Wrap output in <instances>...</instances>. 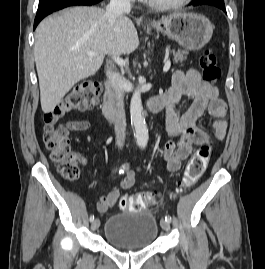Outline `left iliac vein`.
<instances>
[{"label":"left iliac vein","instance_id":"4c4485c4","mask_svg":"<svg viewBox=\"0 0 265 269\" xmlns=\"http://www.w3.org/2000/svg\"><path fill=\"white\" fill-rule=\"evenodd\" d=\"M160 224H161V227L163 230H165V231L170 230V223L167 222L166 220H161Z\"/></svg>","mask_w":265,"mask_h":269}]
</instances>
